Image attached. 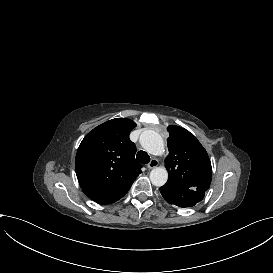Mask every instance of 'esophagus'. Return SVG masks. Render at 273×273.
Instances as JSON below:
<instances>
[{
  "label": "esophagus",
  "mask_w": 273,
  "mask_h": 273,
  "mask_svg": "<svg viewBox=\"0 0 273 273\" xmlns=\"http://www.w3.org/2000/svg\"><path fill=\"white\" fill-rule=\"evenodd\" d=\"M156 166H158V160L155 159V158H153V159L148 163V165H147V167H148L149 169H153V168H155Z\"/></svg>",
  "instance_id": "esophagus-1"
}]
</instances>
